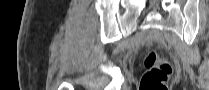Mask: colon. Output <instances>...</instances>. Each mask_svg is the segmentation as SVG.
Returning <instances> with one entry per match:
<instances>
[{"label": "colon", "instance_id": "obj_1", "mask_svg": "<svg viewBox=\"0 0 209 90\" xmlns=\"http://www.w3.org/2000/svg\"><path fill=\"white\" fill-rule=\"evenodd\" d=\"M144 67L139 90H169L168 81L172 67L166 58L150 52L145 57Z\"/></svg>", "mask_w": 209, "mask_h": 90}]
</instances>
